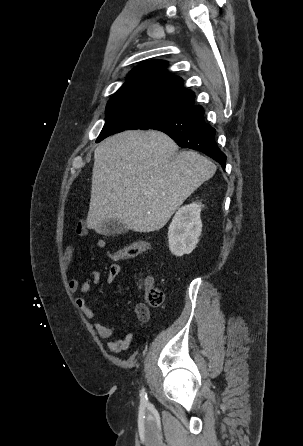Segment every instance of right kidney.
Wrapping results in <instances>:
<instances>
[{"instance_id":"obj_1","label":"right kidney","mask_w":303,"mask_h":446,"mask_svg":"<svg viewBox=\"0 0 303 446\" xmlns=\"http://www.w3.org/2000/svg\"><path fill=\"white\" fill-rule=\"evenodd\" d=\"M202 207L201 203L188 204L174 215L168 230L169 249L173 255L181 257L196 248L202 232Z\"/></svg>"}]
</instances>
